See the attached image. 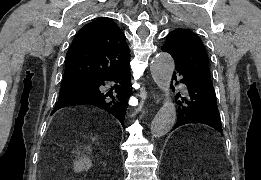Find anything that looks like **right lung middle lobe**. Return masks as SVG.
<instances>
[{"mask_svg":"<svg viewBox=\"0 0 261 180\" xmlns=\"http://www.w3.org/2000/svg\"><path fill=\"white\" fill-rule=\"evenodd\" d=\"M95 84L96 81H63L59 99L80 92H91Z\"/></svg>","mask_w":261,"mask_h":180,"instance_id":"right-lung-middle-lobe-1","label":"right lung middle lobe"}]
</instances>
